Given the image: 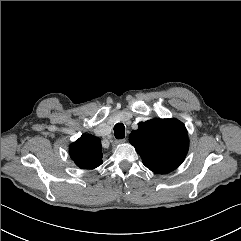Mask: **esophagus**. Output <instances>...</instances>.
I'll use <instances>...</instances> for the list:
<instances>
[{"label": "esophagus", "instance_id": "1", "mask_svg": "<svg viewBox=\"0 0 241 241\" xmlns=\"http://www.w3.org/2000/svg\"><path fill=\"white\" fill-rule=\"evenodd\" d=\"M126 141V139H119V140H115L114 145L120 144V143H124Z\"/></svg>", "mask_w": 241, "mask_h": 241}]
</instances>
